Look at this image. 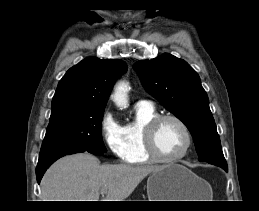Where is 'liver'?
<instances>
[{
  "label": "liver",
  "mask_w": 259,
  "mask_h": 211,
  "mask_svg": "<svg viewBox=\"0 0 259 211\" xmlns=\"http://www.w3.org/2000/svg\"><path fill=\"white\" fill-rule=\"evenodd\" d=\"M163 166L105 164L89 154L63 157L44 174L41 181L43 201H124L148 175Z\"/></svg>",
  "instance_id": "obj_1"
}]
</instances>
